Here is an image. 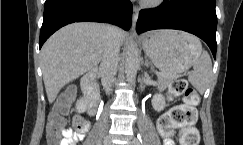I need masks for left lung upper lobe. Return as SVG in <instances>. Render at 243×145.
<instances>
[{
	"label": "left lung upper lobe",
	"mask_w": 243,
	"mask_h": 145,
	"mask_svg": "<svg viewBox=\"0 0 243 145\" xmlns=\"http://www.w3.org/2000/svg\"><path fill=\"white\" fill-rule=\"evenodd\" d=\"M200 3H207L209 5H215V0H195Z\"/></svg>",
	"instance_id": "5c2ea615"
}]
</instances>
